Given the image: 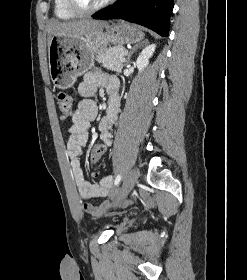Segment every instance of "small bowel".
Returning <instances> with one entry per match:
<instances>
[{
	"mask_svg": "<svg viewBox=\"0 0 247 280\" xmlns=\"http://www.w3.org/2000/svg\"><path fill=\"white\" fill-rule=\"evenodd\" d=\"M99 87L106 88L110 93L107 112L99 121V137L101 143H105L107 147L111 145L112 129L117 120L120 103L116 94V81L100 70L88 72L79 84L78 92L82 98L73 112L72 124L67 129V155L70 158L72 174L79 195L85 201L84 210L92 216L102 215L109 209L110 204L104 202L99 206H94L89 203L90 200L114 195L112 190V176H105L99 182L91 183L84 178L80 162L82 149L89 139L88 129L90 123L95 120L98 114V107L93 96Z\"/></svg>",
	"mask_w": 247,
	"mask_h": 280,
	"instance_id": "small-bowel-1",
	"label": "small bowel"
}]
</instances>
